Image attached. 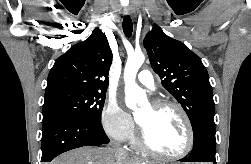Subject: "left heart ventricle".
Returning a JSON list of instances; mask_svg holds the SVG:
<instances>
[{
  "mask_svg": "<svg viewBox=\"0 0 251 164\" xmlns=\"http://www.w3.org/2000/svg\"><path fill=\"white\" fill-rule=\"evenodd\" d=\"M137 120L143 127L149 143L158 151L175 155L184 150L187 131L176 110L156 109L152 105H147L137 114Z\"/></svg>",
  "mask_w": 251,
  "mask_h": 164,
  "instance_id": "obj_1",
  "label": "left heart ventricle"
}]
</instances>
